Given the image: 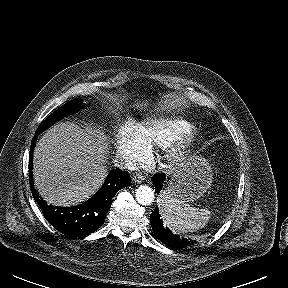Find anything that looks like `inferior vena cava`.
<instances>
[{
	"instance_id": "inferior-vena-cava-1",
	"label": "inferior vena cava",
	"mask_w": 288,
	"mask_h": 288,
	"mask_svg": "<svg viewBox=\"0 0 288 288\" xmlns=\"http://www.w3.org/2000/svg\"><path fill=\"white\" fill-rule=\"evenodd\" d=\"M114 166L120 168V169H128V170H135L136 169V163L132 160L130 157H117L113 160Z\"/></svg>"
}]
</instances>
